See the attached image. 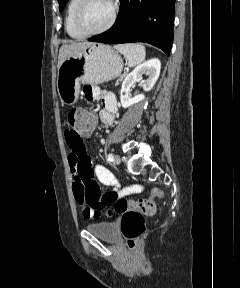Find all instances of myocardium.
<instances>
[{
  "instance_id": "f54148a6",
  "label": "myocardium",
  "mask_w": 240,
  "mask_h": 288,
  "mask_svg": "<svg viewBox=\"0 0 240 288\" xmlns=\"http://www.w3.org/2000/svg\"><path fill=\"white\" fill-rule=\"evenodd\" d=\"M88 1L89 0H80L78 6L76 8V11L74 14V26L77 29V31H79L84 36H93V35L101 34L105 31H107L108 29H110L116 20V15H117L116 2L114 0H110L112 10H111L110 18L107 21V23L98 30L88 31V30L84 29V27L81 24V16H82L83 10H84Z\"/></svg>"
}]
</instances>
